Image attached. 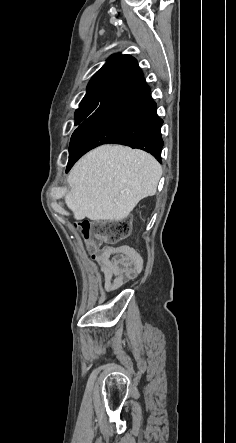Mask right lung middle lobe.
<instances>
[{
  "label": "right lung middle lobe",
  "instance_id": "1",
  "mask_svg": "<svg viewBox=\"0 0 236 443\" xmlns=\"http://www.w3.org/2000/svg\"><path fill=\"white\" fill-rule=\"evenodd\" d=\"M106 99L107 98H96L80 104V108L77 109L75 112V119H76L75 125L78 126V128L72 134L71 141L75 137L79 129L88 121L90 116Z\"/></svg>",
  "mask_w": 236,
  "mask_h": 443
}]
</instances>
